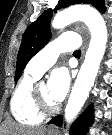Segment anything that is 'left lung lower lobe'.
Here are the masks:
<instances>
[{
  "label": "left lung lower lobe",
  "mask_w": 112,
  "mask_h": 135,
  "mask_svg": "<svg viewBox=\"0 0 112 135\" xmlns=\"http://www.w3.org/2000/svg\"><path fill=\"white\" fill-rule=\"evenodd\" d=\"M93 112L92 108L87 109L78 120L74 122V124L71 127L70 134L71 135H84L88 131V126L93 121ZM48 124H55L57 126L62 125V116L58 115L54 117L51 121L48 122Z\"/></svg>",
  "instance_id": "1"
}]
</instances>
